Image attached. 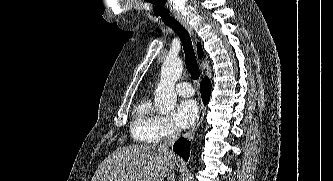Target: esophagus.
Masks as SVG:
<instances>
[{
  "mask_svg": "<svg viewBox=\"0 0 333 181\" xmlns=\"http://www.w3.org/2000/svg\"><path fill=\"white\" fill-rule=\"evenodd\" d=\"M177 20L180 22V24H182L184 26V28L190 33V35H194V31L191 27V25L188 23V21L184 18V17H178ZM204 113H205V107L202 104L200 106L199 109V114H198V118L196 120V122L194 123V125L192 126V128L186 133L185 137L190 139L193 137L194 133L196 132V130L198 129V127L200 126L203 117H204Z\"/></svg>",
  "mask_w": 333,
  "mask_h": 181,
  "instance_id": "1",
  "label": "esophagus"
}]
</instances>
